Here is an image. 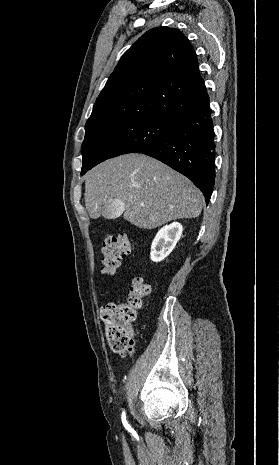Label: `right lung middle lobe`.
<instances>
[{"mask_svg":"<svg viewBox=\"0 0 279 465\" xmlns=\"http://www.w3.org/2000/svg\"><path fill=\"white\" fill-rule=\"evenodd\" d=\"M173 126V120L142 117L86 129L82 144L81 174L108 158L140 153L165 137Z\"/></svg>","mask_w":279,"mask_h":465,"instance_id":"right-lung-middle-lobe-1","label":"right lung middle lobe"}]
</instances>
